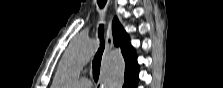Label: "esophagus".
Segmentation results:
<instances>
[{"instance_id":"1","label":"esophagus","mask_w":223,"mask_h":88,"mask_svg":"<svg viewBox=\"0 0 223 88\" xmlns=\"http://www.w3.org/2000/svg\"><path fill=\"white\" fill-rule=\"evenodd\" d=\"M112 47H113L112 20H110L108 28H107V33H106V47H105L103 58H102L101 72H100V77H99V81L97 84V88L102 87V79H103V70H104L105 60H106V57Z\"/></svg>"}]
</instances>
